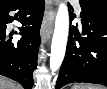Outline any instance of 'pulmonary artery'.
<instances>
[{"label":"pulmonary artery","instance_id":"pulmonary-artery-1","mask_svg":"<svg viewBox=\"0 0 107 89\" xmlns=\"http://www.w3.org/2000/svg\"><path fill=\"white\" fill-rule=\"evenodd\" d=\"M73 5L75 7V10H76L77 14L80 15V10L81 9H80L78 1L77 0H73Z\"/></svg>","mask_w":107,"mask_h":89}]
</instances>
